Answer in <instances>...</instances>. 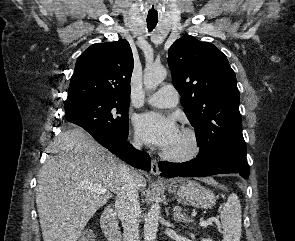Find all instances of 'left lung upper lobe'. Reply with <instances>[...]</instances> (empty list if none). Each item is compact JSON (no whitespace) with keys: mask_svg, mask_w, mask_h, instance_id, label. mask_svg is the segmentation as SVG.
I'll use <instances>...</instances> for the list:
<instances>
[{"mask_svg":"<svg viewBox=\"0 0 295 241\" xmlns=\"http://www.w3.org/2000/svg\"><path fill=\"white\" fill-rule=\"evenodd\" d=\"M168 64L184 112L195 129L198 156L226 154L246 159L240 93L226 56L213 44L187 35L170 47Z\"/></svg>","mask_w":295,"mask_h":241,"instance_id":"left-lung-upper-lobe-1","label":"left lung upper lobe"}]
</instances>
